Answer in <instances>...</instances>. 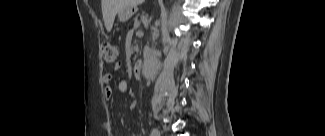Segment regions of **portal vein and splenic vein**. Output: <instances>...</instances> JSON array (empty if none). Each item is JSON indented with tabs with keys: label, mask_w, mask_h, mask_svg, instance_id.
<instances>
[{
	"label": "portal vein and splenic vein",
	"mask_w": 325,
	"mask_h": 136,
	"mask_svg": "<svg viewBox=\"0 0 325 136\" xmlns=\"http://www.w3.org/2000/svg\"><path fill=\"white\" fill-rule=\"evenodd\" d=\"M140 25V22L138 20H135L134 26L138 27Z\"/></svg>",
	"instance_id": "obj_1"
}]
</instances>
